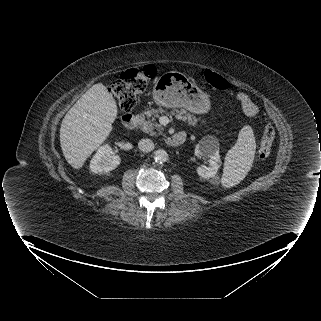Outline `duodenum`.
Returning <instances> with one entry per match:
<instances>
[{
  "label": "duodenum",
  "mask_w": 321,
  "mask_h": 321,
  "mask_svg": "<svg viewBox=\"0 0 321 321\" xmlns=\"http://www.w3.org/2000/svg\"><path fill=\"white\" fill-rule=\"evenodd\" d=\"M122 123L126 129L132 130L137 125V117L134 114H125L122 117ZM184 141L185 136L182 134H175L167 138V144L173 147L181 145Z\"/></svg>",
  "instance_id": "410a0bca"
}]
</instances>
